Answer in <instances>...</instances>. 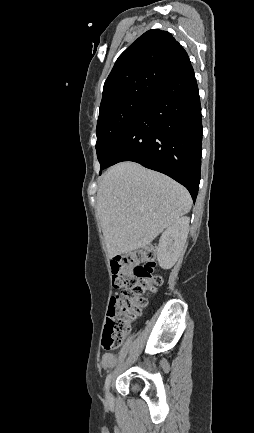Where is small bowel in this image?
Returning <instances> with one entry per match:
<instances>
[{"label":"small bowel","mask_w":254,"mask_h":433,"mask_svg":"<svg viewBox=\"0 0 254 433\" xmlns=\"http://www.w3.org/2000/svg\"><path fill=\"white\" fill-rule=\"evenodd\" d=\"M114 362L113 355L111 353H106L102 356V366L108 368L112 366Z\"/></svg>","instance_id":"obj_1"}]
</instances>
